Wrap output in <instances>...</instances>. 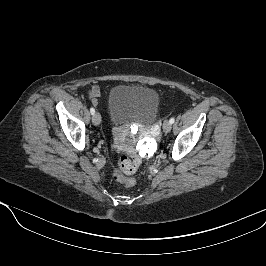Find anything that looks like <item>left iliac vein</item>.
Listing matches in <instances>:
<instances>
[{"instance_id":"4c4485c4","label":"left iliac vein","mask_w":266,"mask_h":266,"mask_svg":"<svg viewBox=\"0 0 266 266\" xmlns=\"http://www.w3.org/2000/svg\"><path fill=\"white\" fill-rule=\"evenodd\" d=\"M171 128H172V124L168 120H165L163 123V131L165 133H168L171 131Z\"/></svg>"}]
</instances>
